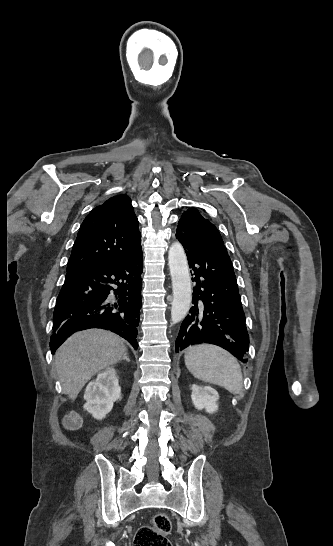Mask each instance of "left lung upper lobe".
Instances as JSON below:
<instances>
[{
	"label": "left lung upper lobe",
	"instance_id": "obj_1",
	"mask_svg": "<svg viewBox=\"0 0 333 546\" xmlns=\"http://www.w3.org/2000/svg\"><path fill=\"white\" fill-rule=\"evenodd\" d=\"M178 224L200 242L228 254L215 225L203 218L196 209L191 208L184 212Z\"/></svg>",
	"mask_w": 333,
	"mask_h": 546
}]
</instances>
